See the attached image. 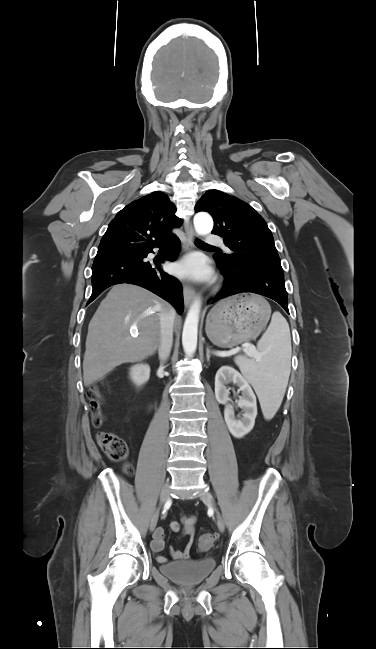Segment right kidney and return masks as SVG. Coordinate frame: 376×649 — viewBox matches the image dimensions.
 <instances>
[{
  "label": "right kidney",
  "instance_id": "right-kidney-1",
  "mask_svg": "<svg viewBox=\"0 0 376 649\" xmlns=\"http://www.w3.org/2000/svg\"><path fill=\"white\" fill-rule=\"evenodd\" d=\"M150 367L147 364H137L130 369V378L134 384L141 386L149 380Z\"/></svg>",
  "mask_w": 376,
  "mask_h": 649
}]
</instances>
